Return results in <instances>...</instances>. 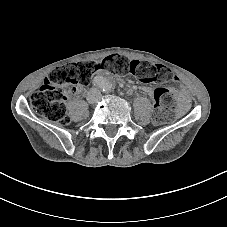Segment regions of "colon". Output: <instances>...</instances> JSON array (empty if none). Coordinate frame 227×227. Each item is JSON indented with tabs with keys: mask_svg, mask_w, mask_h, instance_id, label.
I'll return each mask as SVG.
<instances>
[{
	"mask_svg": "<svg viewBox=\"0 0 227 227\" xmlns=\"http://www.w3.org/2000/svg\"><path fill=\"white\" fill-rule=\"evenodd\" d=\"M98 70L109 71L117 76L133 74L144 84L175 80V75L161 64L128 60L119 55L107 56L98 63H70L52 71L40 89L31 95L32 109L54 123L68 124L70 119L65 107L68 92H74L78 86L86 85ZM154 100V124L170 123L176 102L175 89L156 88Z\"/></svg>",
	"mask_w": 227,
	"mask_h": 227,
	"instance_id": "1",
	"label": "colon"
}]
</instances>
